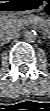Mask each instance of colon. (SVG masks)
I'll return each instance as SVG.
<instances>
[{"instance_id":"1","label":"colon","mask_w":50,"mask_h":111,"mask_svg":"<svg viewBox=\"0 0 50 111\" xmlns=\"http://www.w3.org/2000/svg\"><path fill=\"white\" fill-rule=\"evenodd\" d=\"M46 12L47 14L50 13V7L47 8Z\"/></svg>"}]
</instances>
